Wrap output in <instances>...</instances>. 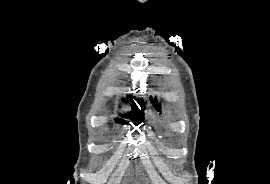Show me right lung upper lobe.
Listing matches in <instances>:
<instances>
[{
  "label": "right lung upper lobe",
  "instance_id": "1",
  "mask_svg": "<svg viewBox=\"0 0 270 184\" xmlns=\"http://www.w3.org/2000/svg\"><path fill=\"white\" fill-rule=\"evenodd\" d=\"M127 99L132 103V111L129 114H125V117H130L132 120L139 122L143 120V110L145 108L143 101L139 102V105L141 107V110L138 109L136 103L134 102L133 99H135L133 96H128ZM116 122L121 123V124H126L128 123L127 121L121 119V118H116Z\"/></svg>",
  "mask_w": 270,
  "mask_h": 184
}]
</instances>
